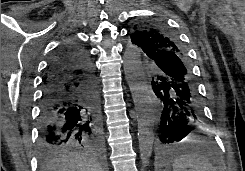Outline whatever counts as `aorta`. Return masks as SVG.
I'll return each mask as SVG.
<instances>
[{"instance_id": "1", "label": "aorta", "mask_w": 245, "mask_h": 171, "mask_svg": "<svg viewBox=\"0 0 245 171\" xmlns=\"http://www.w3.org/2000/svg\"><path fill=\"white\" fill-rule=\"evenodd\" d=\"M123 60L125 75L138 114L140 158L143 167H147L154 142L153 126L155 115L153 110V94L143 70L141 49L134 45L129 46L124 53Z\"/></svg>"}]
</instances>
